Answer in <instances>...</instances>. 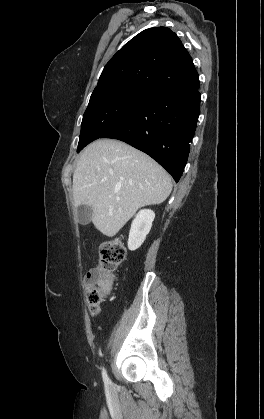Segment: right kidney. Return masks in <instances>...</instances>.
<instances>
[{
    "instance_id": "1",
    "label": "right kidney",
    "mask_w": 264,
    "mask_h": 419,
    "mask_svg": "<svg viewBox=\"0 0 264 419\" xmlns=\"http://www.w3.org/2000/svg\"><path fill=\"white\" fill-rule=\"evenodd\" d=\"M155 213L152 210H140L131 224L128 238V249L134 251L138 249L146 235L150 232Z\"/></svg>"
}]
</instances>
